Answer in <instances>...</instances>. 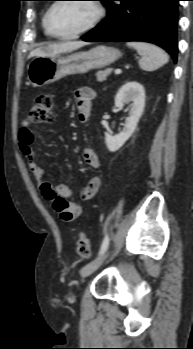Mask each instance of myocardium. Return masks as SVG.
Returning a JSON list of instances; mask_svg holds the SVG:
<instances>
[{
  "label": "myocardium",
  "mask_w": 193,
  "mask_h": 349,
  "mask_svg": "<svg viewBox=\"0 0 193 349\" xmlns=\"http://www.w3.org/2000/svg\"><path fill=\"white\" fill-rule=\"evenodd\" d=\"M63 0H57L55 1L46 11L45 14V26L46 29L49 33L50 36L56 38V39H60V40H71V39H76L86 33H88L89 31L93 30L105 17L106 14V10L104 5L99 1V0H87V2H91L93 4V6L96 9V16L95 18L92 20V22L87 25L86 27H84L83 29L73 33V34H68V35H61L56 33L52 26H51V14L53 12V10L56 8L57 5H59L60 3H64L61 2Z\"/></svg>",
  "instance_id": "f54148a6"
}]
</instances>
